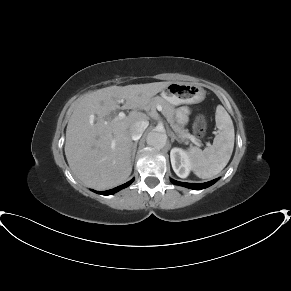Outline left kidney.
<instances>
[{
    "instance_id": "left-kidney-1",
    "label": "left kidney",
    "mask_w": 291,
    "mask_h": 291,
    "mask_svg": "<svg viewBox=\"0 0 291 291\" xmlns=\"http://www.w3.org/2000/svg\"><path fill=\"white\" fill-rule=\"evenodd\" d=\"M171 164L174 172L180 178L188 177L191 170V159L181 148L174 147L170 152Z\"/></svg>"
}]
</instances>
